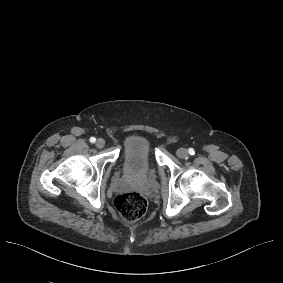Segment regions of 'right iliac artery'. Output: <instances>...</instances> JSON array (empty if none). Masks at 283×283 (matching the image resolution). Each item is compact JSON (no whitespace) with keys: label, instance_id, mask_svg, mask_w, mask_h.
I'll return each instance as SVG.
<instances>
[{"label":"right iliac artery","instance_id":"obj_1","mask_svg":"<svg viewBox=\"0 0 283 283\" xmlns=\"http://www.w3.org/2000/svg\"><path fill=\"white\" fill-rule=\"evenodd\" d=\"M95 141H96V138H94V137H91V138H90V142H91V143H94Z\"/></svg>","mask_w":283,"mask_h":283}]
</instances>
